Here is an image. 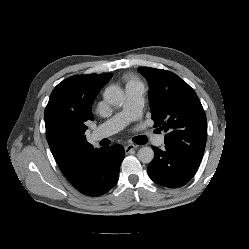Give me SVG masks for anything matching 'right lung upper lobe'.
Returning a JSON list of instances; mask_svg holds the SVG:
<instances>
[{
	"mask_svg": "<svg viewBox=\"0 0 249 249\" xmlns=\"http://www.w3.org/2000/svg\"><path fill=\"white\" fill-rule=\"evenodd\" d=\"M113 74L69 77L52 91L44 120L51 152L66 178H71L79 160L102 148H94L84 135L93 120L92 103Z\"/></svg>",
	"mask_w": 249,
	"mask_h": 249,
	"instance_id": "1",
	"label": "right lung upper lobe"
}]
</instances>
